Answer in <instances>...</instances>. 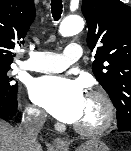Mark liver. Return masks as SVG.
Wrapping results in <instances>:
<instances>
[{
  "label": "liver",
  "mask_w": 131,
  "mask_h": 151,
  "mask_svg": "<svg viewBox=\"0 0 131 151\" xmlns=\"http://www.w3.org/2000/svg\"><path fill=\"white\" fill-rule=\"evenodd\" d=\"M0 151H42V147L38 142L33 147L25 145L17 130L0 120Z\"/></svg>",
  "instance_id": "1"
}]
</instances>
